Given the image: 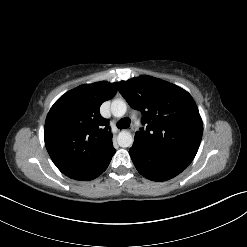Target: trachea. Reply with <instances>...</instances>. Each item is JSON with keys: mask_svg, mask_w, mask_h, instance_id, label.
<instances>
[{"mask_svg": "<svg viewBox=\"0 0 247 247\" xmlns=\"http://www.w3.org/2000/svg\"><path fill=\"white\" fill-rule=\"evenodd\" d=\"M130 126V120L128 118H122L117 122L118 128H127Z\"/></svg>", "mask_w": 247, "mask_h": 247, "instance_id": "obj_1", "label": "trachea"}]
</instances>
